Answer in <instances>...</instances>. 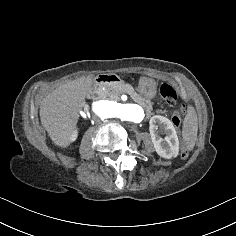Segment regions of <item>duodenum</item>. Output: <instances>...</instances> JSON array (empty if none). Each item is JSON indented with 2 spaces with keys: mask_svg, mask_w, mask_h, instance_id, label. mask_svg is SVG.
Returning a JSON list of instances; mask_svg holds the SVG:
<instances>
[{
  "mask_svg": "<svg viewBox=\"0 0 236 236\" xmlns=\"http://www.w3.org/2000/svg\"><path fill=\"white\" fill-rule=\"evenodd\" d=\"M121 81L120 77L115 74L103 73L99 74L93 81V86L119 83Z\"/></svg>",
  "mask_w": 236,
  "mask_h": 236,
  "instance_id": "duodenum-1",
  "label": "duodenum"
}]
</instances>
